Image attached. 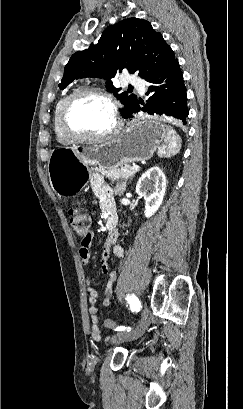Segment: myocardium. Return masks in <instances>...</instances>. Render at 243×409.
Returning a JSON list of instances; mask_svg holds the SVG:
<instances>
[{
  "instance_id": "obj_1",
  "label": "myocardium",
  "mask_w": 243,
  "mask_h": 409,
  "mask_svg": "<svg viewBox=\"0 0 243 409\" xmlns=\"http://www.w3.org/2000/svg\"><path fill=\"white\" fill-rule=\"evenodd\" d=\"M84 96L97 97L104 101L109 106L112 116V125L108 130L96 135H85L76 132L70 127L68 122L70 109L77 99ZM60 125L66 136L73 141L96 142L105 140L114 135L115 133H117V131L120 129L121 122L118 107L113 97L101 89L88 87L77 89L67 96L60 111Z\"/></svg>"
}]
</instances>
